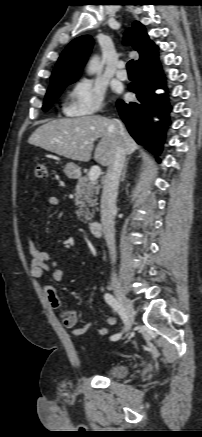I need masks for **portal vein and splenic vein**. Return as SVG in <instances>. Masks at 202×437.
I'll return each mask as SVG.
<instances>
[{
  "label": "portal vein and splenic vein",
  "instance_id": "obj_1",
  "mask_svg": "<svg viewBox=\"0 0 202 437\" xmlns=\"http://www.w3.org/2000/svg\"><path fill=\"white\" fill-rule=\"evenodd\" d=\"M101 175V169L99 166H93L89 171V180L90 181H96L99 176Z\"/></svg>",
  "mask_w": 202,
  "mask_h": 437
}]
</instances>
